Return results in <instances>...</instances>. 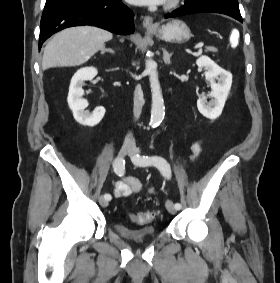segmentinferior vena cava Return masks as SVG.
Segmentation results:
<instances>
[{
    "mask_svg": "<svg viewBox=\"0 0 280 283\" xmlns=\"http://www.w3.org/2000/svg\"><path fill=\"white\" fill-rule=\"evenodd\" d=\"M143 104H144L143 92L141 87L137 86L134 91V110H133L134 117L136 119H138L141 114ZM124 144L135 146V139L131 133L125 137Z\"/></svg>",
    "mask_w": 280,
    "mask_h": 283,
    "instance_id": "obj_1",
    "label": "inferior vena cava"
}]
</instances>
